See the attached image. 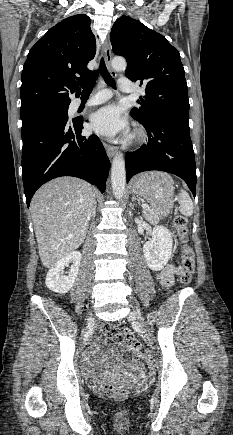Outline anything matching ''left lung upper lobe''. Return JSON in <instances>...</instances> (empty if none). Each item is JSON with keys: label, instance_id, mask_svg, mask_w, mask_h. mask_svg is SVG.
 Segmentation results:
<instances>
[{"label": "left lung upper lobe", "instance_id": "1", "mask_svg": "<svg viewBox=\"0 0 233 435\" xmlns=\"http://www.w3.org/2000/svg\"><path fill=\"white\" fill-rule=\"evenodd\" d=\"M112 50L127 60L125 75L146 87L131 115L138 121H188L189 99L180 54L161 34L130 16H121L111 32ZM140 85V86H141Z\"/></svg>", "mask_w": 233, "mask_h": 435}]
</instances>
